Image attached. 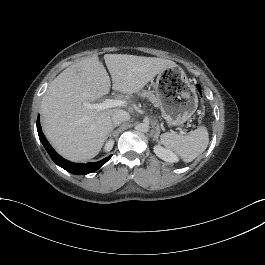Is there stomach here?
<instances>
[{
    "mask_svg": "<svg viewBox=\"0 0 265 265\" xmlns=\"http://www.w3.org/2000/svg\"><path fill=\"white\" fill-rule=\"evenodd\" d=\"M154 89L157 105L169 126L183 124L197 109V93L184 71L178 66L161 71Z\"/></svg>",
    "mask_w": 265,
    "mask_h": 265,
    "instance_id": "0dacf381",
    "label": "stomach"
}]
</instances>
